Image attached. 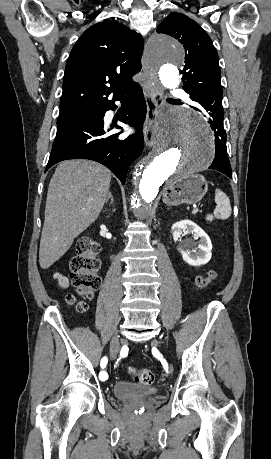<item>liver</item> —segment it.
<instances>
[{
  "label": "liver",
  "mask_w": 271,
  "mask_h": 459,
  "mask_svg": "<svg viewBox=\"0 0 271 459\" xmlns=\"http://www.w3.org/2000/svg\"><path fill=\"white\" fill-rule=\"evenodd\" d=\"M111 172L91 160H65L49 184L39 263L50 267L74 237L97 220L109 192Z\"/></svg>",
  "instance_id": "1"
}]
</instances>
